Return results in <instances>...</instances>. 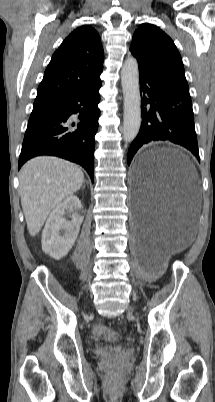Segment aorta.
Masks as SVG:
<instances>
[{"label":"aorta","instance_id":"1","mask_svg":"<svg viewBox=\"0 0 215 402\" xmlns=\"http://www.w3.org/2000/svg\"><path fill=\"white\" fill-rule=\"evenodd\" d=\"M121 83L124 96L123 138L126 142H131L137 136L141 125L139 70L135 58L125 60L121 70Z\"/></svg>","mask_w":215,"mask_h":402}]
</instances>
